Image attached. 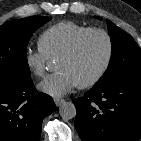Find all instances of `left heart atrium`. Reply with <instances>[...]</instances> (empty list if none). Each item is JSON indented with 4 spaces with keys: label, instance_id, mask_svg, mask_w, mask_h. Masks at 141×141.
I'll list each match as a JSON object with an SVG mask.
<instances>
[{
    "label": "left heart atrium",
    "instance_id": "obj_1",
    "mask_svg": "<svg viewBox=\"0 0 141 141\" xmlns=\"http://www.w3.org/2000/svg\"><path fill=\"white\" fill-rule=\"evenodd\" d=\"M77 84L68 71L58 70L41 81L38 88L50 96L61 97L69 93Z\"/></svg>",
    "mask_w": 141,
    "mask_h": 141
}]
</instances>
